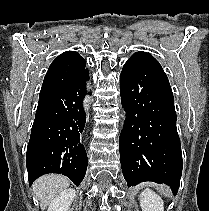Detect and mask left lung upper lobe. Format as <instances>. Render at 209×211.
I'll list each match as a JSON object with an SVG mask.
<instances>
[{"mask_svg":"<svg viewBox=\"0 0 209 211\" xmlns=\"http://www.w3.org/2000/svg\"><path fill=\"white\" fill-rule=\"evenodd\" d=\"M137 54H140L148 59H150L153 63H155L157 66L161 67V65L158 63V61L149 53L145 52H137ZM162 68V67H161Z\"/></svg>","mask_w":209,"mask_h":211,"instance_id":"1","label":"left lung upper lobe"}]
</instances>
